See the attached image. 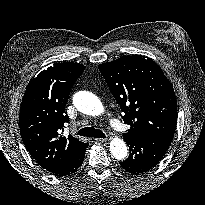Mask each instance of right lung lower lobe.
<instances>
[{"label":"right lung lower lobe","instance_id":"1","mask_svg":"<svg viewBox=\"0 0 205 205\" xmlns=\"http://www.w3.org/2000/svg\"><path fill=\"white\" fill-rule=\"evenodd\" d=\"M86 147L83 150H81L78 154L70 158L68 162L64 164L62 167L55 171H52L51 173L59 177L73 174L81 166L84 160Z\"/></svg>","mask_w":205,"mask_h":205}]
</instances>
